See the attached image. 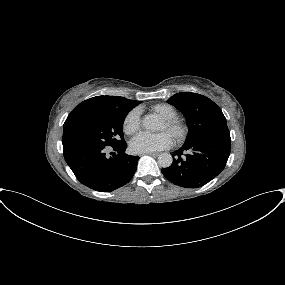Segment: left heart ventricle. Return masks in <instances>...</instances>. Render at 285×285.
<instances>
[{"mask_svg":"<svg viewBox=\"0 0 285 285\" xmlns=\"http://www.w3.org/2000/svg\"><path fill=\"white\" fill-rule=\"evenodd\" d=\"M157 131H165V132L169 133V131L166 129V127L164 126V124L162 122L159 123Z\"/></svg>","mask_w":285,"mask_h":285,"instance_id":"left-heart-ventricle-1","label":"left heart ventricle"}]
</instances>
